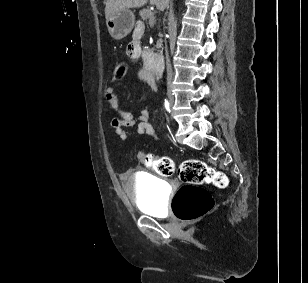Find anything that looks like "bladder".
Returning a JSON list of instances; mask_svg holds the SVG:
<instances>
[{
  "label": "bladder",
  "instance_id": "31cf9c89",
  "mask_svg": "<svg viewBox=\"0 0 308 283\" xmlns=\"http://www.w3.org/2000/svg\"><path fill=\"white\" fill-rule=\"evenodd\" d=\"M127 185L137 209L154 217L166 216V188L161 180L147 173H138L131 175Z\"/></svg>",
  "mask_w": 308,
  "mask_h": 283
}]
</instances>
